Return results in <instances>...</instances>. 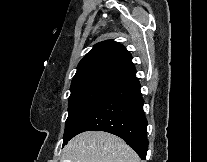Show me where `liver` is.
Returning <instances> with one entry per match:
<instances>
[{
  "label": "liver",
  "instance_id": "6515ba94",
  "mask_svg": "<svg viewBox=\"0 0 207 162\" xmlns=\"http://www.w3.org/2000/svg\"><path fill=\"white\" fill-rule=\"evenodd\" d=\"M62 162H142L121 138L103 131L73 137L63 150Z\"/></svg>",
  "mask_w": 207,
  "mask_h": 162
}]
</instances>
